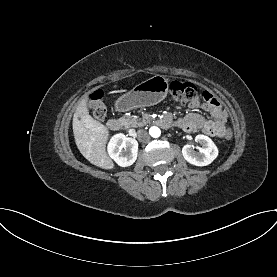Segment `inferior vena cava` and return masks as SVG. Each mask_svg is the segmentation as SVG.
I'll use <instances>...</instances> for the list:
<instances>
[{
    "label": "inferior vena cava",
    "instance_id": "602c4592",
    "mask_svg": "<svg viewBox=\"0 0 277 277\" xmlns=\"http://www.w3.org/2000/svg\"><path fill=\"white\" fill-rule=\"evenodd\" d=\"M137 138L140 142H148L150 140V136L146 130H138Z\"/></svg>",
    "mask_w": 277,
    "mask_h": 277
}]
</instances>
